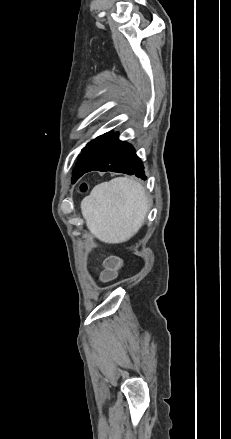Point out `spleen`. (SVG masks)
<instances>
[{"mask_svg":"<svg viewBox=\"0 0 231 439\" xmlns=\"http://www.w3.org/2000/svg\"><path fill=\"white\" fill-rule=\"evenodd\" d=\"M147 210L144 188L126 177L98 184L81 202L88 229L106 243L130 239L142 226Z\"/></svg>","mask_w":231,"mask_h":439,"instance_id":"1","label":"spleen"}]
</instances>
